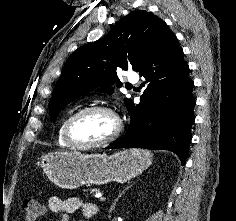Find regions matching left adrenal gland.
Here are the masks:
<instances>
[{
    "label": "left adrenal gland",
    "mask_w": 236,
    "mask_h": 221,
    "mask_svg": "<svg viewBox=\"0 0 236 221\" xmlns=\"http://www.w3.org/2000/svg\"><path fill=\"white\" fill-rule=\"evenodd\" d=\"M132 186H133V184L127 186L123 191H121V192L119 193L118 197L114 200V202L112 203V205H111V207H110V210H109L110 213L114 210V208H115V206H116V202L119 200V198H120L129 188H131Z\"/></svg>",
    "instance_id": "obj_1"
}]
</instances>
